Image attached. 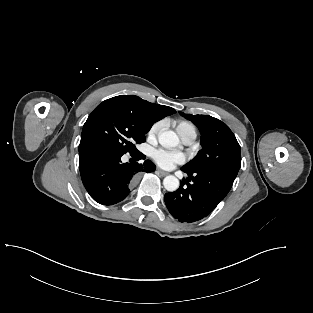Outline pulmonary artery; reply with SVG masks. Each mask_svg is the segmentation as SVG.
<instances>
[{"mask_svg":"<svg viewBox=\"0 0 313 313\" xmlns=\"http://www.w3.org/2000/svg\"><path fill=\"white\" fill-rule=\"evenodd\" d=\"M193 140H194V139H193L192 137H187V138H184V139H183L184 143H186V144L192 143Z\"/></svg>","mask_w":313,"mask_h":313,"instance_id":"pulmonary-artery-1","label":"pulmonary artery"}]
</instances>
